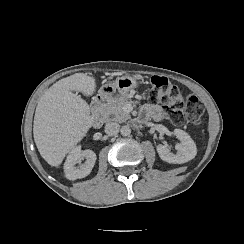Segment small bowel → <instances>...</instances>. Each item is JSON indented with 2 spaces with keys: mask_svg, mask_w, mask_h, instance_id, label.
Returning <instances> with one entry per match:
<instances>
[{
  "mask_svg": "<svg viewBox=\"0 0 244 244\" xmlns=\"http://www.w3.org/2000/svg\"><path fill=\"white\" fill-rule=\"evenodd\" d=\"M140 117L142 121L153 119L155 121H161L165 118L164 110L155 104H145L141 109Z\"/></svg>",
  "mask_w": 244,
  "mask_h": 244,
  "instance_id": "small-bowel-1",
  "label": "small bowel"
}]
</instances>
